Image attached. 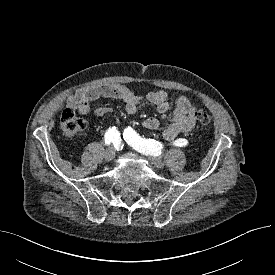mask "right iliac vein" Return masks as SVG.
I'll list each match as a JSON object with an SVG mask.
<instances>
[{"label": "right iliac vein", "instance_id": "63e3f726", "mask_svg": "<svg viewBox=\"0 0 275 275\" xmlns=\"http://www.w3.org/2000/svg\"><path fill=\"white\" fill-rule=\"evenodd\" d=\"M115 157V149L114 147H109L105 152V160L111 161Z\"/></svg>", "mask_w": 275, "mask_h": 275}]
</instances>
